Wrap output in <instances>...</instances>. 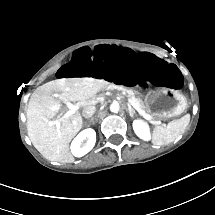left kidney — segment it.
Returning a JSON list of instances; mask_svg holds the SVG:
<instances>
[{"label":"left kidney","mask_w":215,"mask_h":215,"mask_svg":"<svg viewBox=\"0 0 215 215\" xmlns=\"http://www.w3.org/2000/svg\"><path fill=\"white\" fill-rule=\"evenodd\" d=\"M133 129L135 134L142 140L149 141L151 139V132L148 125L140 119L133 121Z\"/></svg>","instance_id":"left-kidney-1"}]
</instances>
